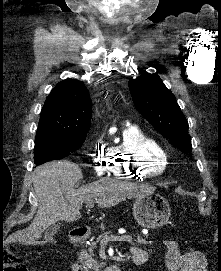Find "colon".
I'll return each mask as SVG.
<instances>
[{"label":"colon","mask_w":221,"mask_h":271,"mask_svg":"<svg viewBox=\"0 0 221 271\" xmlns=\"http://www.w3.org/2000/svg\"><path fill=\"white\" fill-rule=\"evenodd\" d=\"M0 271H28L17 250L9 248L0 260Z\"/></svg>","instance_id":"5ec220e1"}]
</instances>
